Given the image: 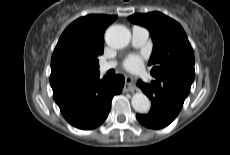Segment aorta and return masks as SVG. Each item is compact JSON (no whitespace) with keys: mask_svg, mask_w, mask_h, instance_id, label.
Here are the masks:
<instances>
[{"mask_svg":"<svg viewBox=\"0 0 230 155\" xmlns=\"http://www.w3.org/2000/svg\"><path fill=\"white\" fill-rule=\"evenodd\" d=\"M130 38V31L123 25H112L105 32L106 43L115 49L126 47ZM131 104L134 110L139 113H147L150 110V100L141 92L132 96Z\"/></svg>","mask_w":230,"mask_h":155,"instance_id":"aorta-1","label":"aorta"}]
</instances>
